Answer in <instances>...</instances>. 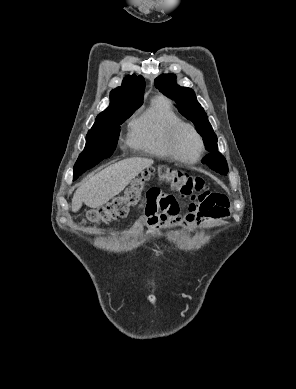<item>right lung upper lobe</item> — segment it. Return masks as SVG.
<instances>
[{
	"mask_svg": "<svg viewBox=\"0 0 296 389\" xmlns=\"http://www.w3.org/2000/svg\"><path fill=\"white\" fill-rule=\"evenodd\" d=\"M144 89L145 81L141 75L126 76L122 85L111 91L109 107L101 112L96 119L123 109L140 107L143 103Z\"/></svg>",
	"mask_w": 296,
	"mask_h": 389,
	"instance_id": "right-lung-upper-lobe-1",
	"label": "right lung upper lobe"
}]
</instances>
